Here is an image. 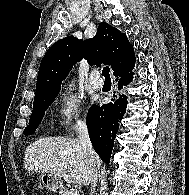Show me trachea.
<instances>
[{"label": "trachea", "instance_id": "obj_1", "mask_svg": "<svg viewBox=\"0 0 189 195\" xmlns=\"http://www.w3.org/2000/svg\"><path fill=\"white\" fill-rule=\"evenodd\" d=\"M110 68L108 66L104 67L102 70V76H104L105 81H111V77H110Z\"/></svg>", "mask_w": 189, "mask_h": 195}]
</instances>
